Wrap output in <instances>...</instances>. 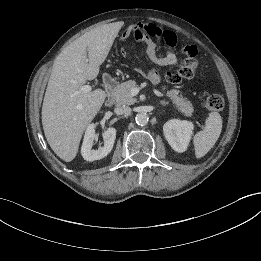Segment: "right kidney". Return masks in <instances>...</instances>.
Masks as SVG:
<instances>
[{"mask_svg": "<svg viewBox=\"0 0 261 261\" xmlns=\"http://www.w3.org/2000/svg\"><path fill=\"white\" fill-rule=\"evenodd\" d=\"M102 136L104 138V145L97 150L92 149L94 139L96 138L95 126L94 124H90L87 127L81 147L82 157L86 161L102 159L111 152L116 139V129L113 127L108 128L102 133Z\"/></svg>", "mask_w": 261, "mask_h": 261, "instance_id": "right-kidney-1", "label": "right kidney"}]
</instances>
